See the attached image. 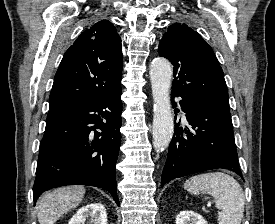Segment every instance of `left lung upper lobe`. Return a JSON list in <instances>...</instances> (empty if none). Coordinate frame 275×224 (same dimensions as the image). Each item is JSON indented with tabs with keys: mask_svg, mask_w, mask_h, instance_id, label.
I'll return each instance as SVG.
<instances>
[{
	"mask_svg": "<svg viewBox=\"0 0 275 224\" xmlns=\"http://www.w3.org/2000/svg\"><path fill=\"white\" fill-rule=\"evenodd\" d=\"M158 52L174 66L172 92L230 111L222 68L210 45L196 31L186 24L169 26Z\"/></svg>",
	"mask_w": 275,
	"mask_h": 224,
	"instance_id": "left-lung-upper-lobe-1",
	"label": "left lung upper lobe"
}]
</instances>
